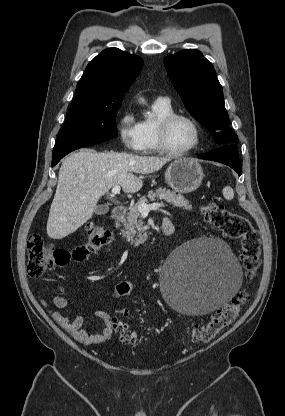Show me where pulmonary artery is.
<instances>
[{
	"label": "pulmonary artery",
	"instance_id": "pulmonary-artery-1",
	"mask_svg": "<svg viewBox=\"0 0 285 416\" xmlns=\"http://www.w3.org/2000/svg\"><path fill=\"white\" fill-rule=\"evenodd\" d=\"M158 99H160V100H164V101H166V102H170L169 98H167V97H159Z\"/></svg>",
	"mask_w": 285,
	"mask_h": 416
}]
</instances>
